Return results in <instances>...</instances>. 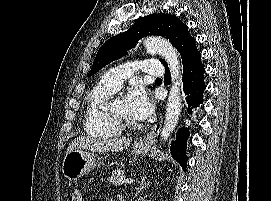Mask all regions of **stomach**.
<instances>
[{"instance_id":"1","label":"stomach","mask_w":271,"mask_h":201,"mask_svg":"<svg viewBox=\"0 0 271 201\" xmlns=\"http://www.w3.org/2000/svg\"><path fill=\"white\" fill-rule=\"evenodd\" d=\"M132 149L136 156H143L147 151V146L134 144ZM99 165L100 159L94 153L75 150L66 154L63 160L62 171L68 180L74 181Z\"/></svg>"}]
</instances>
